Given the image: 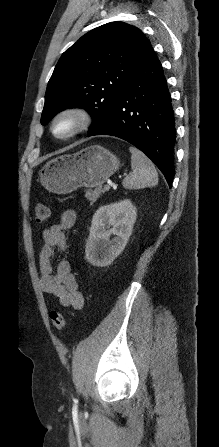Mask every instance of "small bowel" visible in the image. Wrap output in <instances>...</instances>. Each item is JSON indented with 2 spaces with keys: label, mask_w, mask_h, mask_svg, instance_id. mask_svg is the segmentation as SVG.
<instances>
[{
  "label": "small bowel",
  "mask_w": 219,
  "mask_h": 447,
  "mask_svg": "<svg viewBox=\"0 0 219 447\" xmlns=\"http://www.w3.org/2000/svg\"><path fill=\"white\" fill-rule=\"evenodd\" d=\"M75 224L76 213L68 209L62 213L58 222L44 230V244L39 253L40 286L44 292L57 298L64 307L81 310L84 306V295L71 272L69 261L60 260L55 264L56 253L67 250L66 233L72 230Z\"/></svg>",
  "instance_id": "small-bowel-1"
}]
</instances>
